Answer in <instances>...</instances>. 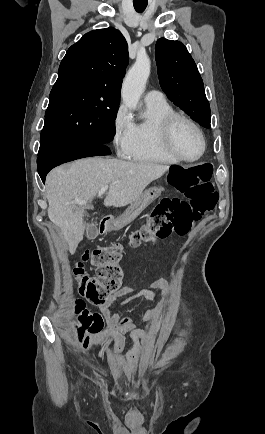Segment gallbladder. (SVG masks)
Wrapping results in <instances>:
<instances>
[{"instance_id":"gallbladder-1","label":"gallbladder","mask_w":265,"mask_h":434,"mask_svg":"<svg viewBox=\"0 0 265 434\" xmlns=\"http://www.w3.org/2000/svg\"><path fill=\"white\" fill-rule=\"evenodd\" d=\"M87 228V238H89V240H94V238H97L98 236V230L96 228L95 224H88V226H86Z\"/></svg>"}]
</instances>
